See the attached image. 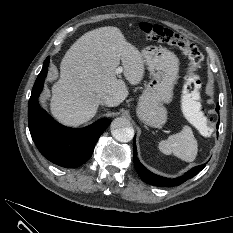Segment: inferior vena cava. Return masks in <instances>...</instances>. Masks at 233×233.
<instances>
[{"mask_svg":"<svg viewBox=\"0 0 233 233\" xmlns=\"http://www.w3.org/2000/svg\"><path fill=\"white\" fill-rule=\"evenodd\" d=\"M100 103L102 105L113 106L114 105V98L110 95H105L101 98Z\"/></svg>","mask_w":233,"mask_h":233,"instance_id":"1","label":"inferior vena cava"}]
</instances>
